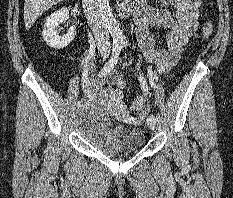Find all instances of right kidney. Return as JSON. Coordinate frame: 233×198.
<instances>
[{"label": "right kidney", "mask_w": 233, "mask_h": 198, "mask_svg": "<svg viewBox=\"0 0 233 198\" xmlns=\"http://www.w3.org/2000/svg\"><path fill=\"white\" fill-rule=\"evenodd\" d=\"M69 19V10L61 8L52 13L46 20L42 35L47 45L53 49H63L68 46L75 38L76 27L71 26L67 34L60 36L58 27L60 23L66 22Z\"/></svg>", "instance_id": "1"}]
</instances>
